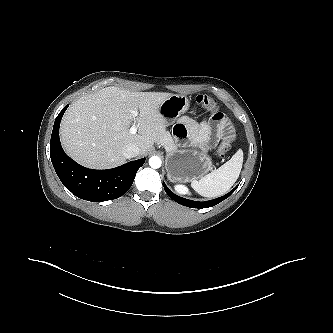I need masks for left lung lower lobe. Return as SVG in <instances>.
<instances>
[{"mask_svg":"<svg viewBox=\"0 0 333 333\" xmlns=\"http://www.w3.org/2000/svg\"><path fill=\"white\" fill-rule=\"evenodd\" d=\"M164 189L166 191V193L168 194V196L170 198H172L174 201H176L177 203L187 206V207H191V208H208V207H212L217 205L218 203L222 202L223 200H225L226 198H228L234 191L235 189L238 187L236 186L233 190H231L228 194L213 199V200H209V201H204V202H199V201H193V200H188L185 198H182L180 196H177L176 194H174L173 192H171L167 186L165 185V183H163Z\"/></svg>","mask_w":333,"mask_h":333,"instance_id":"left-lung-lower-lobe-1","label":"left lung lower lobe"}]
</instances>
